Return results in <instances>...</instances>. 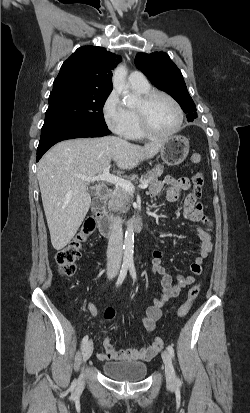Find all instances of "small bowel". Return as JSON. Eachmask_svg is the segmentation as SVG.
I'll return each mask as SVG.
<instances>
[{
	"label": "small bowel",
	"mask_w": 250,
	"mask_h": 413,
	"mask_svg": "<svg viewBox=\"0 0 250 413\" xmlns=\"http://www.w3.org/2000/svg\"><path fill=\"white\" fill-rule=\"evenodd\" d=\"M189 188L190 182L188 178L167 176L162 181H158L151 186L150 195L156 197L164 193L167 200L176 201ZM183 216L191 222H203L206 225L205 229L200 227L195 229L196 236L199 239V252L190 264L191 272L199 275L202 271L203 261L208 257L213 248L211 241L212 223L205 216L201 204L191 194L185 199ZM151 270L159 277L161 293L155 299L154 304L147 308L142 318V326L147 332H152L155 329L156 322L161 318L163 305L171 298L177 297L183 289L195 282V278L192 275L178 274L173 277L168 273L163 266L162 251L159 249L153 252ZM88 308L92 315L97 316L98 312L94 304L90 303ZM102 345L104 352L98 354L100 360L146 361L153 358L159 352V349L154 348L152 344L139 349L116 350L107 336H102Z\"/></svg>",
	"instance_id": "1"
}]
</instances>
